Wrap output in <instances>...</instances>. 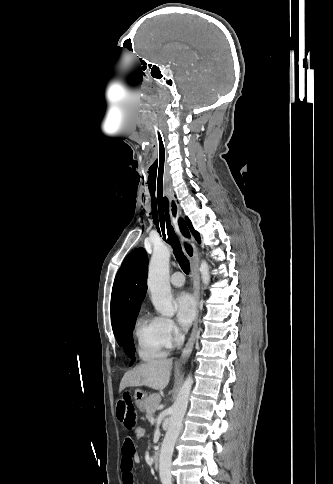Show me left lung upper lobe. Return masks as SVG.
<instances>
[{"instance_id": "1", "label": "left lung upper lobe", "mask_w": 333, "mask_h": 484, "mask_svg": "<svg viewBox=\"0 0 333 484\" xmlns=\"http://www.w3.org/2000/svg\"><path fill=\"white\" fill-rule=\"evenodd\" d=\"M186 221H187V223H188V226H189V228H190V230H191V232H192L193 236L195 237V239H196V240H198V242H200V235H199V233H198V232H196V231L193 229V227H192V225H191V222L189 221V219H188L187 217H186Z\"/></svg>"}]
</instances>
